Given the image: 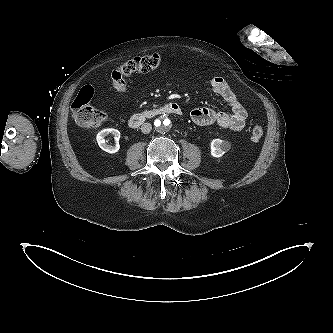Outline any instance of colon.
<instances>
[{
  "label": "colon",
  "mask_w": 333,
  "mask_h": 333,
  "mask_svg": "<svg viewBox=\"0 0 333 333\" xmlns=\"http://www.w3.org/2000/svg\"><path fill=\"white\" fill-rule=\"evenodd\" d=\"M162 64L159 54L134 57L111 73V81L115 90L124 91L127 87L126 79L134 73L147 72L158 68ZM94 88L90 85L84 86L74 101L71 109L75 122L83 127L98 126L102 124L107 115L105 112L92 106ZM262 126L255 125L250 131V138L258 142L263 136Z\"/></svg>",
  "instance_id": "obj_1"
}]
</instances>
